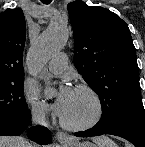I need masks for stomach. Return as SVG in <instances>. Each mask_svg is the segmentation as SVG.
Listing matches in <instances>:
<instances>
[{
    "mask_svg": "<svg viewBox=\"0 0 145 147\" xmlns=\"http://www.w3.org/2000/svg\"><path fill=\"white\" fill-rule=\"evenodd\" d=\"M63 147H95V145L90 142L80 143L78 141H73V142L64 144Z\"/></svg>",
    "mask_w": 145,
    "mask_h": 147,
    "instance_id": "stomach-1",
    "label": "stomach"
}]
</instances>
